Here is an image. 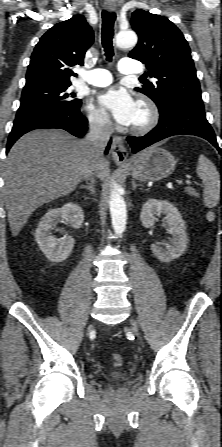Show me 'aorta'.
Instances as JSON below:
<instances>
[{
  "label": "aorta",
  "instance_id": "762f6f07",
  "mask_svg": "<svg viewBox=\"0 0 222 447\" xmlns=\"http://www.w3.org/2000/svg\"><path fill=\"white\" fill-rule=\"evenodd\" d=\"M115 43L119 48L133 47L137 43V35L132 30L120 31L116 35ZM120 189L116 182L112 183L109 207L112 226L116 234H121L125 230L127 220L126 203L120 194Z\"/></svg>",
  "mask_w": 222,
  "mask_h": 447
}]
</instances>
